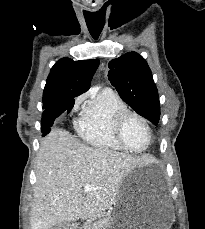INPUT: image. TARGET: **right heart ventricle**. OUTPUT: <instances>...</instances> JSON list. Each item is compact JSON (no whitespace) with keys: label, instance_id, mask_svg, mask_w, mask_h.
<instances>
[{"label":"right heart ventricle","instance_id":"e07e8e85","mask_svg":"<svg viewBox=\"0 0 205 229\" xmlns=\"http://www.w3.org/2000/svg\"><path fill=\"white\" fill-rule=\"evenodd\" d=\"M128 110L121 97L111 89L105 88L93 94L77 121L80 137L89 145L110 151H125L114 132L119 113Z\"/></svg>","mask_w":205,"mask_h":229}]
</instances>
